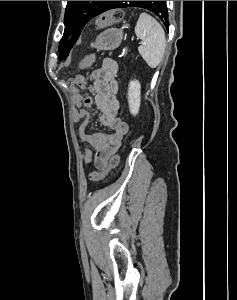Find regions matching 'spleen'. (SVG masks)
<instances>
[{
    "label": "spleen",
    "instance_id": "spleen-1",
    "mask_svg": "<svg viewBox=\"0 0 237 300\" xmlns=\"http://www.w3.org/2000/svg\"><path fill=\"white\" fill-rule=\"evenodd\" d=\"M135 35L142 39V45L138 51L146 61L148 67L156 69L163 59L166 49V39L164 29L159 25L156 19L141 13L135 27Z\"/></svg>",
    "mask_w": 237,
    "mask_h": 300
}]
</instances>
